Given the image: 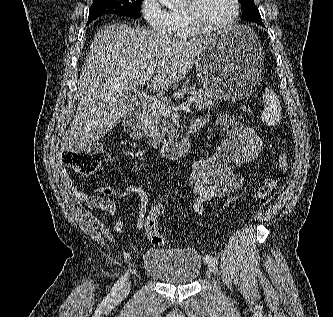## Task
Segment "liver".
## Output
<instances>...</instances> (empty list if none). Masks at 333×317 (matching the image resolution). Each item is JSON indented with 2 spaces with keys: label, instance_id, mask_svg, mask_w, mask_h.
Returning a JSON list of instances; mask_svg holds the SVG:
<instances>
[{
  "label": "liver",
  "instance_id": "6515ba94",
  "mask_svg": "<svg viewBox=\"0 0 333 317\" xmlns=\"http://www.w3.org/2000/svg\"><path fill=\"white\" fill-rule=\"evenodd\" d=\"M210 37L172 36L121 23L101 28L82 69L77 112L61 149L86 150L105 136L131 111L126 94L139 85L151 79L148 88L164 92L182 80Z\"/></svg>",
  "mask_w": 333,
  "mask_h": 317
}]
</instances>
